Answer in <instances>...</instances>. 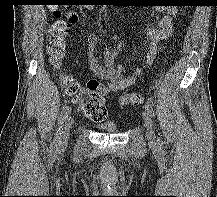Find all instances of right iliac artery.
<instances>
[{
	"instance_id": "obj_1",
	"label": "right iliac artery",
	"mask_w": 217,
	"mask_h": 197,
	"mask_svg": "<svg viewBox=\"0 0 217 197\" xmlns=\"http://www.w3.org/2000/svg\"><path fill=\"white\" fill-rule=\"evenodd\" d=\"M71 113V108L69 106H66L63 111L61 112L59 119H58V126L59 128L57 129V132L55 134V138H54V142L53 145L57 146L59 143V140L61 138V127L62 124L64 123V121L66 120V118H68V116Z\"/></svg>"
}]
</instances>
